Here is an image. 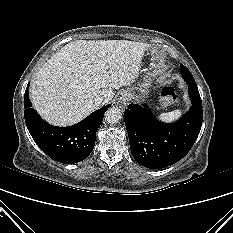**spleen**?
<instances>
[{
	"label": "spleen",
	"mask_w": 233,
	"mask_h": 233,
	"mask_svg": "<svg viewBox=\"0 0 233 233\" xmlns=\"http://www.w3.org/2000/svg\"><path fill=\"white\" fill-rule=\"evenodd\" d=\"M182 115V111L179 109H176L174 111L171 112H167V113H161L158 118L165 122V123H170V122H174L177 119H179Z\"/></svg>",
	"instance_id": "obj_1"
}]
</instances>
